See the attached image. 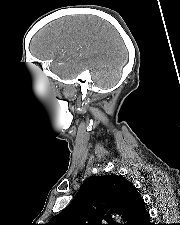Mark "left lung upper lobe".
<instances>
[{"label":"left lung upper lobe","instance_id":"5c2ea615","mask_svg":"<svg viewBox=\"0 0 180 225\" xmlns=\"http://www.w3.org/2000/svg\"><path fill=\"white\" fill-rule=\"evenodd\" d=\"M144 207L134 185L122 176H92L81 186L71 203L46 225H120L113 223L108 210L125 220Z\"/></svg>","mask_w":180,"mask_h":225}]
</instances>
